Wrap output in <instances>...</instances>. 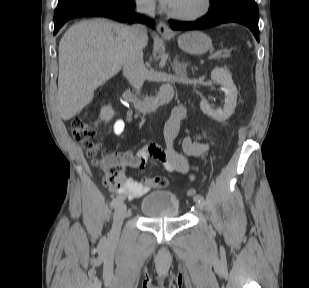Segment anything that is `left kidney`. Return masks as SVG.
<instances>
[{
    "label": "left kidney",
    "mask_w": 309,
    "mask_h": 288,
    "mask_svg": "<svg viewBox=\"0 0 309 288\" xmlns=\"http://www.w3.org/2000/svg\"><path fill=\"white\" fill-rule=\"evenodd\" d=\"M211 78L214 82L221 84L225 92V104L222 109H212L207 100L200 102L201 110L217 121L227 120L234 112L237 102V89L233 83L232 76L226 68L217 67L212 70Z\"/></svg>",
    "instance_id": "left-kidney-1"
}]
</instances>
